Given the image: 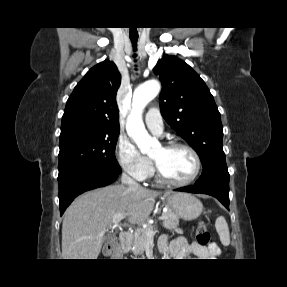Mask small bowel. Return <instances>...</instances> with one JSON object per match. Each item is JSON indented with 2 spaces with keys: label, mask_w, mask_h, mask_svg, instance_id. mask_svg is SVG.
Instances as JSON below:
<instances>
[{
  "label": "small bowel",
  "mask_w": 287,
  "mask_h": 287,
  "mask_svg": "<svg viewBox=\"0 0 287 287\" xmlns=\"http://www.w3.org/2000/svg\"><path fill=\"white\" fill-rule=\"evenodd\" d=\"M159 249L165 257L173 259L187 257L208 259L219 253V247L216 243H211L209 246H201L197 242L190 244L184 237H177L168 244L167 238L162 236L159 239Z\"/></svg>",
  "instance_id": "1"
}]
</instances>
